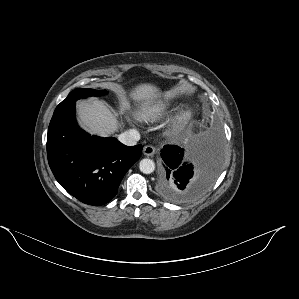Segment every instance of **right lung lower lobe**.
I'll return each instance as SVG.
<instances>
[{
	"mask_svg": "<svg viewBox=\"0 0 299 299\" xmlns=\"http://www.w3.org/2000/svg\"><path fill=\"white\" fill-rule=\"evenodd\" d=\"M142 146L128 147L115 138L90 136L78 129L75 103L54 112L47 135L49 166L60 185L89 205H103L141 156Z\"/></svg>",
	"mask_w": 299,
	"mask_h": 299,
	"instance_id": "1",
	"label": "right lung lower lobe"
}]
</instances>
